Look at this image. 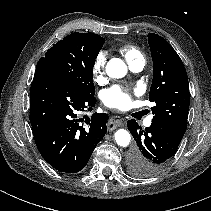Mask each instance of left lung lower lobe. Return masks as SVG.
Listing matches in <instances>:
<instances>
[{
  "label": "left lung lower lobe",
  "mask_w": 211,
  "mask_h": 211,
  "mask_svg": "<svg viewBox=\"0 0 211 211\" xmlns=\"http://www.w3.org/2000/svg\"><path fill=\"white\" fill-rule=\"evenodd\" d=\"M127 126L136 141V147L128 156L131 174L150 177L160 173L176 153L181 141L153 124L142 129L136 120L131 119Z\"/></svg>",
  "instance_id": "0a47b994"
}]
</instances>
